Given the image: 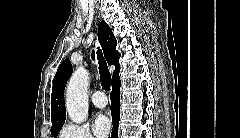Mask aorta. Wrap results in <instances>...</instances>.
<instances>
[{
	"label": "aorta",
	"instance_id": "obj_1",
	"mask_svg": "<svg viewBox=\"0 0 240 138\" xmlns=\"http://www.w3.org/2000/svg\"><path fill=\"white\" fill-rule=\"evenodd\" d=\"M89 74L83 67H78L71 76L66 90V109L70 119L82 123L88 116L87 88Z\"/></svg>",
	"mask_w": 240,
	"mask_h": 138
}]
</instances>
